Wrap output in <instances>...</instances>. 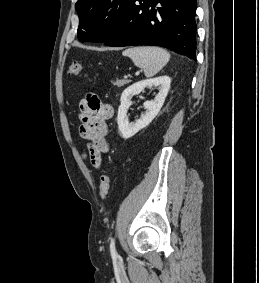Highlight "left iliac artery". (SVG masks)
<instances>
[{
    "mask_svg": "<svg viewBox=\"0 0 259 283\" xmlns=\"http://www.w3.org/2000/svg\"><path fill=\"white\" fill-rule=\"evenodd\" d=\"M110 252H111V255L113 257H117L118 256V254L116 252V248H115V239L114 238H112L111 242H110Z\"/></svg>",
    "mask_w": 259,
    "mask_h": 283,
    "instance_id": "obj_1",
    "label": "left iliac artery"
}]
</instances>
